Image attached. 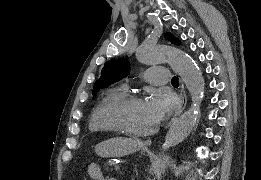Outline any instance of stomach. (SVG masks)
Listing matches in <instances>:
<instances>
[{
    "label": "stomach",
    "instance_id": "obj_1",
    "mask_svg": "<svg viewBox=\"0 0 261 180\" xmlns=\"http://www.w3.org/2000/svg\"><path fill=\"white\" fill-rule=\"evenodd\" d=\"M139 149L135 139L115 137L95 146V152L102 158L122 157L137 152Z\"/></svg>",
    "mask_w": 261,
    "mask_h": 180
}]
</instances>
